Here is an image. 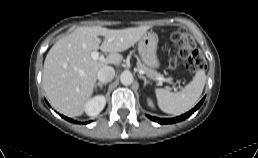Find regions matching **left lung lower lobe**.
Listing matches in <instances>:
<instances>
[{
    "label": "left lung lower lobe",
    "instance_id": "0a47b994",
    "mask_svg": "<svg viewBox=\"0 0 258 158\" xmlns=\"http://www.w3.org/2000/svg\"><path fill=\"white\" fill-rule=\"evenodd\" d=\"M203 101H204V98L195 106V108H193L192 110H190L186 114H183V115L178 116L176 118H163V119H161V118H156V117H152V116H149V115H148V117L151 120H153L155 122H158L159 124L176 123V122L182 121V120L188 118L189 116H191L201 106Z\"/></svg>",
    "mask_w": 258,
    "mask_h": 158
}]
</instances>
